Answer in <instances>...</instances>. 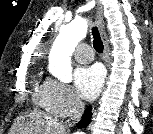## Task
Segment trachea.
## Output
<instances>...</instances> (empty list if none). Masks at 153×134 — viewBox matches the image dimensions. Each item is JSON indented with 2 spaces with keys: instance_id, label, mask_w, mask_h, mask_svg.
Segmentation results:
<instances>
[{
  "instance_id": "trachea-1",
  "label": "trachea",
  "mask_w": 153,
  "mask_h": 134,
  "mask_svg": "<svg viewBox=\"0 0 153 134\" xmlns=\"http://www.w3.org/2000/svg\"><path fill=\"white\" fill-rule=\"evenodd\" d=\"M92 35H93V46H94V49L98 53H102L104 47H103V43H102V40L100 38V35H99L97 27H93L92 28Z\"/></svg>"
}]
</instances>
